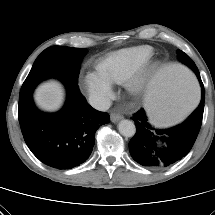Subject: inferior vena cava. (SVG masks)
<instances>
[{
	"label": "inferior vena cava",
	"instance_id": "1",
	"mask_svg": "<svg viewBox=\"0 0 215 215\" xmlns=\"http://www.w3.org/2000/svg\"><path fill=\"white\" fill-rule=\"evenodd\" d=\"M89 103L99 111H106L111 106V100L109 98L95 95L89 97Z\"/></svg>",
	"mask_w": 215,
	"mask_h": 215
}]
</instances>
